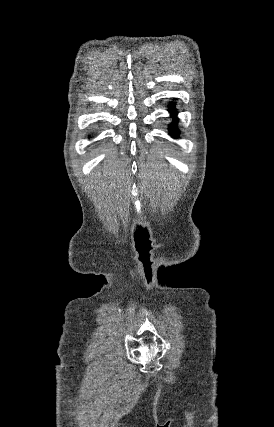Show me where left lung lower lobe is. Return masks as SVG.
Returning <instances> with one entry per match:
<instances>
[{
  "label": "left lung lower lobe",
  "mask_w": 274,
  "mask_h": 427,
  "mask_svg": "<svg viewBox=\"0 0 274 427\" xmlns=\"http://www.w3.org/2000/svg\"><path fill=\"white\" fill-rule=\"evenodd\" d=\"M170 112H171V114L175 117V112H176V110H175L174 106H171V107H170ZM171 133H172V136H174V137H176V136H177L178 129H176V127H175L174 123L171 125Z\"/></svg>",
  "instance_id": "left-lung-lower-lobe-1"
}]
</instances>
